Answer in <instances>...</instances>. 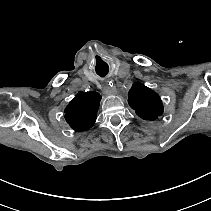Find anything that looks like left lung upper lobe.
<instances>
[{"mask_svg":"<svg viewBox=\"0 0 211 211\" xmlns=\"http://www.w3.org/2000/svg\"><path fill=\"white\" fill-rule=\"evenodd\" d=\"M128 97L130 107L144 120H154L163 113L160 96L140 82L133 84Z\"/></svg>","mask_w":211,"mask_h":211,"instance_id":"5c2ea615","label":"left lung upper lobe"}]
</instances>
